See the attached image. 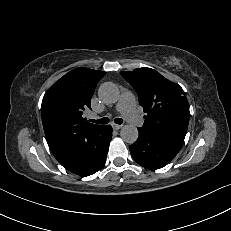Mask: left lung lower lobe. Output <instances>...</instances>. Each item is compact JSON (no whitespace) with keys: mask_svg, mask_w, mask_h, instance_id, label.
Instances as JSON below:
<instances>
[{"mask_svg":"<svg viewBox=\"0 0 231 231\" xmlns=\"http://www.w3.org/2000/svg\"><path fill=\"white\" fill-rule=\"evenodd\" d=\"M137 141L129 146L134 160L143 167L159 169L180 151L183 141L138 128Z\"/></svg>","mask_w":231,"mask_h":231,"instance_id":"0a47b994","label":"left lung lower lobe"}]
</instances>
